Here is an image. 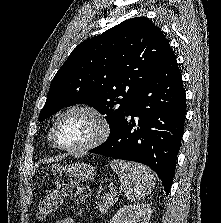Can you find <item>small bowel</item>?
I'll use <instances>...</instances> for the list:
<instances>
[{
  "mask_svg": "<svg viewBox=\"0 0 221 223\" xmlns=\"http://www.w3.org/2000/svg\"><path fill=\"white\" fill-rule=\"evenodd\" d=\"M55 223H75V222H74V219L72 217L65 216V217L57 220Z\"/></svg>",
  "mask_w": 221,
  "mask_h": 223,
  "instance_id": "c3829d8e",
  "label": "small bowel"
}]
</instances>
